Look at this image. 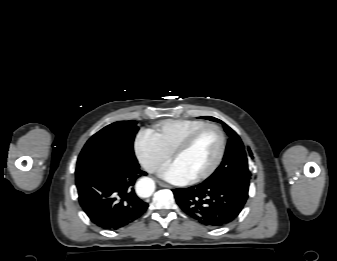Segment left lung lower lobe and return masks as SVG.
<instances>
[{
  "label": "left lung lower lobe",
  "mask_w": 337,
  "mask_h": 261,
  "mask_svg": "<svg viewBox=\"0 0 337 261\" xmlns=\"http://www.w3.org/2000/svg\"><path fill=\"white\" fill-rule=\"evenodd\" d=\"M172 191L186 215L209 227H222L232 222L247 200L233 188L219 183L203 182Z\"/></svg>",
  "instance_id": "1"
}]
</instances>
